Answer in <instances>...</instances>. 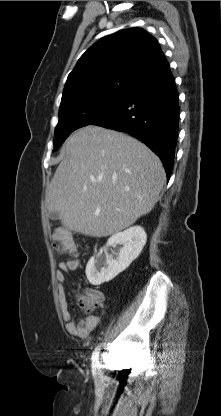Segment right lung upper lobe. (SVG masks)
<instances>
[{
    "label": "right lung upper lobe",
    "mask_w": 221,
    "mask_h": 416,
    "mask_svg": "<svg viewBox=\"0 0 221 416\" xmlns=\"http://www.w3.org/2000/svg\"><path fill=\"white\" fill-rule=\"evenodd\" d=\"M168 62L157 40L143 29L106 36L78 60L65 84L61 104L107 88L135 90L164 80Z\"/></svg>",
    "instance_id": "1"
}]
</instances>
